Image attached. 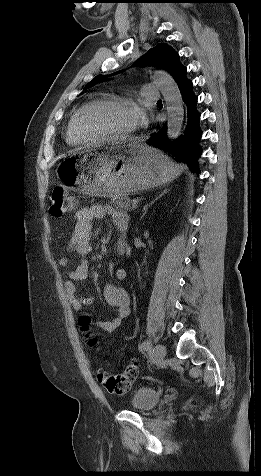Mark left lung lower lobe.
I'll return each mask as SVG.
<instances>
[{
  "instance_id": "1",
  "label": "left lung lower lobe",
  "mask_w": 261,
  "mask_h": 476,
  "mask_svg": "<svg viewBox=\"0 0 261 476\" xmlns=\"http://www.w3.org/2000/svg\"><path fill=\"white\" fill-rule=\"evenodd\" d=\"M176 82L187 106V124L184 136L180 140L170 141L167 137L166 125L157 133L151 135L148 144L151 147L166 152L176 161L186 163L193 171H199L197 158L202 150L198 143L202 136L199 127L200 113L196 110L197 96L193 93L192 81L186 77V67L176 77Z\"/></svg>"
}]
</instances>
